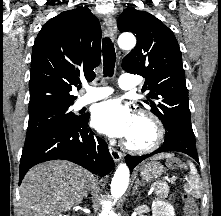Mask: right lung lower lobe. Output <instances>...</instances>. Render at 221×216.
Segmentation results:
<instances>
[{
	"label": "right lung lower lobe",
	"instance_id": "1",
	"mask_svg": "<svg viewBox=\"0 0 221 216\" xmlns=\"http://www.w3.org/2000/svg\"><path fill=\"white\" fill-rule=\"evenodd\" d=\"M88 120L89 115H82L77 122L24 146L20 160L19 184L31 167L56 159L74 162L93 173H109L114 168V161L107 143L94 136L88 127Z\"/></svg>",
	"mask_w": 221,
	"mask_h": 216
}]
</instances>
